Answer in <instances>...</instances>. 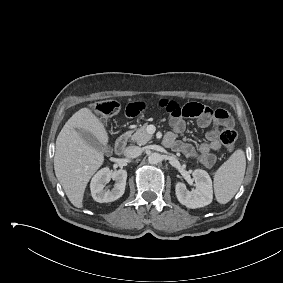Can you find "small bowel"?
I'll return each mask as SVG.
<instances>
[{
  "mask_svg": "<svg viewBox=\"0 0 283 283\" xmlns=\"http://www.w3.org/2000/svg\"><path fill=\"white\" fill-rule=\"evenodd\" d=\"M158 104L169 115L172 127V131L164 138L165 144L188 157L196 158L204 167L211 168L216 162L213 151L221 148V143L218 140V127L231 128L234 125L230 114L223 109H212L200 103H188L181 106L173 100L161 99ZM146 107L145 101H134L128 104L125 113L128 117H136ZM186 118H196L199 127L209 128L206 133V141L197 148L178 139V135L185 130Z\"/></svg>",
  "mask_w": 283,
  "mask_h": 283,
  "instance_id": "c3829d8e",
  "label": "small bowel"
}]
</instances>
